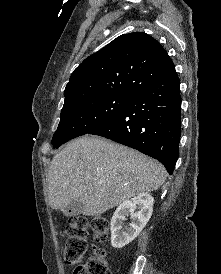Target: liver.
<instances>
[{
  "instance_id": "obj_1",
  "label": "liver",
  "mask_w": 221,
  "mask_h": 274,
  "mask_svg": "<svg viewBox=\"0 0 221 274\" xmlns=\"http://www.w3.org/2000/svg\"><path fill=\"white\" fill-rule=\"evenodd\" d=\"M167 173L158 161L126 146L85 135L70 141L51 162L48 197L52 209L83 203L85 216H99L125 200L157 190Z\"/></svg>"
}]
</instances>
